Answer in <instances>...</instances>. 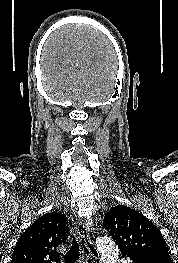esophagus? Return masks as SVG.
I'll list each match as a JSON object with an SVG mask.
<instances>
[{
	"label": "esophagus",
	"mask_w": 178,
	"mask_h": 263,
	"mask_svg": "<svg viewBox=\"0 0 178 263\" xmlns=\"http://www.w3.org/2000/svg\"><path fill=\"white\" fill-rule=\"evenodd\" d=\"M76 235L77 238L80 240L81 238L84 239L85 244L91 254V258L86 257V262L84 263H100V258H99V252L93 245V243L90 240L89 236V229L86 224V221L82 218H80L77 222L76 225ZM85 256H82V259L84 260Z\"/></svg>",
	"instance_id": "34e87169"
}]
</instances>
